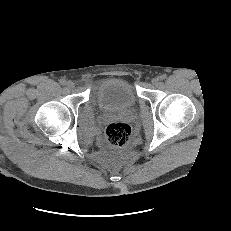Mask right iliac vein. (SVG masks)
Masks as SVG:
<instances>
[{
	"label": "right iliac vein",
	"instance_id": "63e3f726",
	"mask_svg": "<svg viewBox=\"0 0 231 231\" xmlns=\"http://www.w3.org/2000/svg\"><path fill=\"white\" fill-rule=\"evenodd\" d=\"M66 85L69 89H73L75 87V83L73 81H70V80L67 81Z\"/></svg>",
	"mask_w": 231,
	"mask_h": 231
}]
</instances>
